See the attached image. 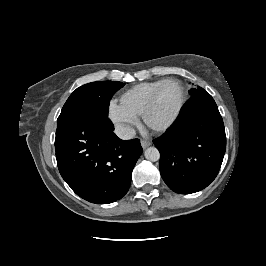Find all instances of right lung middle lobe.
<instances>
[{"instance_id": "1", "label": "right lung middle lobe", "mask_w": 266, "mask_h": 266, "mask_svg": "<svg viewBox=\"0 0 266 266\" xmlns=\"http://www.w3.org/2000/svg\"><path fill=\"white\" fill-rule=\"evenodd\" d=\"M124 86L118 81L92 82L77 88L64 104L57 119L56 134L62 132L87 112L107 115L111 97Z\"/></svg>"}]
</instances>
